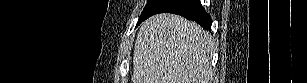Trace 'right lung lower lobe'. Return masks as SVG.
I'll return each instance as SVG.
<instances>
[{"label":"right lung lower lobe","instance_id":"98d812e1","mask_svg":"<svg viewBox=\"0 0 307 83\" xmlns=\"http://www.w3.org/2000/svg\"><path fill=\"white\" fill-rule=\"evenodd\" d=\"M163 12L182 15L211 31L212 21L201 5L200 0H155L150 12L143 21L152 15Z\"/></svg>","mask_w":307,"mask_h":83}]
</instances>
